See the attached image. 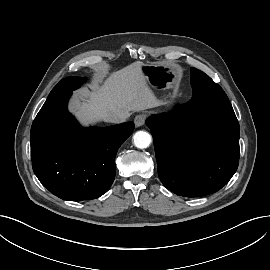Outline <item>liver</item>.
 <instances>
[{"label":"liver","mask_w":270,"mask_h":270,"mask_svg":"<svg viewBox=\"0 0 270 270\" xmlns=\"http://www.w3.org/2000/svg\"><path fill=\"white\" fill-rule=\"evenodd\" d=\"M141 62H134L113 72L102 85L84 90L73 100L71 110L84 123L106 121L113 111H143L163 104L147 84Z\"/></svg>","instance_id":"6515ba94"}]
</instances>
